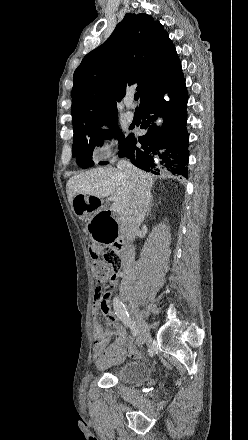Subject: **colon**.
<instances>
[{
    "label": "colon",
    "instance_id": "obj_1",
    "mask_svg": "<svg viewBox=\"0 0 248 440\" xmlns=\"http://www.w3.org/2000/svg\"><path fill=\"white\" fill-rule=\"evenodd\" d=\"M93 272L98 282H104L112 277L111 272L116 267H121L119 254L111 247H100L92 250ZM118 273V272H117ZM95 298L105 300L106 296L101 288H96Z\"/></svg>",
    "mask_w": 248,
    "mask_h": 440
}]
</instances>
